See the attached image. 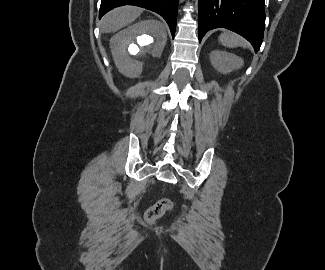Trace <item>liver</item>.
<instances>
[{
	"instance_id": "obj_1",
	"label": "liver",
	"mask_w": 325,
	"mask_h": 270,
	"mask_svg": "<svg viewBox=\"0 0 325 270\" xmlns=\"http://www.w3.org/2000/svg\"><path fill=\"white\" fill-rule=\"evenodd\" d=\"M143 9L134 6H124L108 12L101 21L103 33L115 32L135 21Z\"/></svg>"
}]
</instances>
